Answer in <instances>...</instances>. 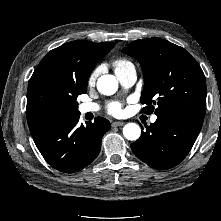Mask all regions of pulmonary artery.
<instances>
[{
	"label": "pulmonary artery",
	"mask_w": 221,
	"mask_h": 221,
	"mask_svg": "<svg viewBox=\"0 0 221 221\" xmlns=\"http://www.w3.org/2000/svg\"><path fill=\"white\" fill-rule=\"evenodd\" d=\"M117 78L122 86L129 88L134 85L137 80V72L134 65L130 64L125 69L116 73ZM99 105L96 103H83L79 106V111L82 114L93 113L99 110ZM151 122L154 123L157 120V116L151 117Z\"/></svg>",
	"instance_id": "obj_1"
}]
</instances>
